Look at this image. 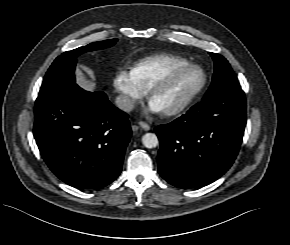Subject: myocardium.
I'll return each instance as SVG.
<instances>
[{"label": "myocardium", "instance_id": "1", "mask_svg": "<svg viewBox=\"0 0 290 245\" xmlns=\"http://www.w3.org/2000/svg\"><path fill=\"white\" fill-rule=\"evenodd\" d=\"M198 70L201 75H202V80L200 82V84L193 90V92L187 97L185 98L184 101H182L181 103H179L178 105H176L175 107L165 110L163 111V114L165 116H175L178 115L182 112H184L186 109H188L193 102L197 99V97L203 92V90L205 89L207 82H208V76L206 71L197 64H186L183 66H179L176 67L168 72H166L163 75L158 76L149 86L148 90H147V95L148 97L151 99L153 94L160 88L162 87L164 84H166L167 82H169L172 78H174L175 76L187 71V70Z\"/></svg>", "mask_w": 290, "mask_h": 245}]
</instances>
